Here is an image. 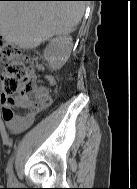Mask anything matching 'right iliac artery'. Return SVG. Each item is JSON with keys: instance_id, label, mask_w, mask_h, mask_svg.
Wrapping results in <instances>:
<instances>
[{"instance_id": "obj_1", "label": "right iliac artery", "mask_w": 137, "mask_h": 189, "mask_svg": "<svg viewBox=\"0 0 137 189\" xmlns=\"http://www.w3.org/2000/svg\"><path fill=\"white\" fill-rule=\"evenodd\" d=\"M12 165H13V161L10 160L9 163H8V167H7V173H8V182L9 183H13V179H14V176H13V171H12Z\"/></svg>"}]
</instances>
